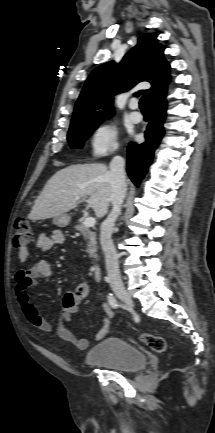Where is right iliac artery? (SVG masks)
<instances>
[{
    "label": "right iliac artery",
    "mask_w": 215,
    "mask_h": 433,
    "mask_svg": "<svg viewBox=\"0 0 215 433\" xmlns=\"http://www.w3.org/2000/svg\"><path fill=\"white\" fill-rule=\"evenodd\" d=\"M107 298H108V302H109V304H110L113 308H117V307L119 306V304H118L117 300L115 299V297L113 296V294L110 293V294L107 296Z\"/></svg>",
    "instance_id": "right-iliac-artery-1"
}]
</instances>
